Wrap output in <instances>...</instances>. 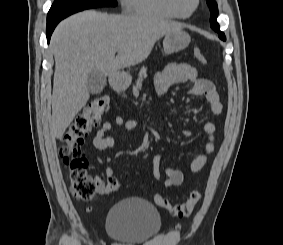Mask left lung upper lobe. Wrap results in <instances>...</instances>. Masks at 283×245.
<instances>
[{
    "label": "left lung upper lobe",
    "instance_id": "1",
    "mask_svg": "<svg viewBox=\"0 0 283 245\" xmlns=\"http://www.w3.org/2000/svg\"><path fill=\"white\" fill-rule=\"evenodd\" d=\"M207 4L211 12L210 25L212 29L218 33L220 39L226 40L224 33L220 31L219 24L216 21V18L218 16L217 3L214 0H207Z\"/></svg>",
    "mask_w": 283,
    "mask_h": 245
}]
</instances>
